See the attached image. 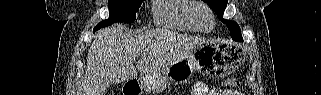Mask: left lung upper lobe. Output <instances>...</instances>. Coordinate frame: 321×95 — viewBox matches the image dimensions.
I'll list each match as a JSON object with an SVG mask.
<instances>
[{
	"label": "left lung upper lobe",
	"instance_id": "5c2ea615",
	"mask_svg": "<svg viewBox=\"0 0 321 95\" xmlns=\"http://www.w3.org/2000/svg\"><path fill=\"white\" fill-rule=\"evenodd\" d=\"M217 14L219 19L225 23L230 30L232 39H238L241 36V30L237 23L223 19V14L227 6L228 0H203Z\"/></svg>",
	"mask_w": 321,
	"mask_h": 95
}]
</instances>
